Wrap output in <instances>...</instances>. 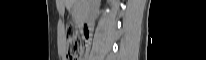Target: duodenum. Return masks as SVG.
<instances>
[{
    "instance_id": "1",
    "label": "duodenum",
    "mask_w": 206,
    "mask_h": 60,
    "mask_svg": "<svg viewBox=\"0 0 206 60\" xmlns=\"http://www.w3.org/2000/svg\"><path fill=\"white\" fill-rule=\"evenodd\" d=\"M82 28H83L84 34L88 35L89 34V29H90V23L89 22H85L82 25Z\"/></svg>"
}]
</instances>
